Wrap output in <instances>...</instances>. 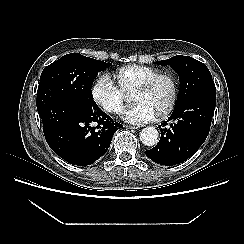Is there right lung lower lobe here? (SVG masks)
Returning a JSON list of instances; mask_svg holds the SVG:
<instances>
[{
	"instance_id": "1",
	"label": "right lung lower lobe",
	"mask_w": 244,
	"mask_h": 244,
	"mask_svg": "<svg viewBox=\"0 0 244 244\" xmlns=\"http://www.w3.org/2000/svg\"><path fill=\"white\" fill-rule=\"evenodd\" d=\"M51 149L67 162L86 166L103 156L122 125L96 104L61 101L39 113Z\"/></svg>"
}]
</instances>
